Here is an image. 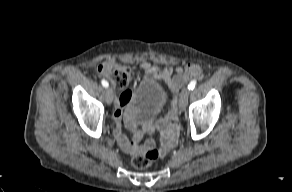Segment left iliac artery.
Here are the masks:
<instances>
[{
	"mask_svg": "<svg viewBox=\"0 0 292 192\" xmlns=\"http://www.w3.org/2000/svg\"><path fill=\"white\" fill-rule=\"evenodd\" d=\"M197 81L196 80H192L189 84H188V89L189 90H193L195 85H196Z\"/></svg>",
	"mask_w": 292,
	"mask_h": 192,
	"instance_id": "1",
	"label": "left iliac artery"
}]
</instances>
